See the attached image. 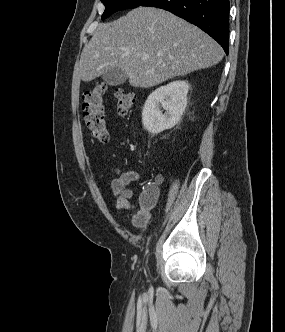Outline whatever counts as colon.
I'll return each mask as SVG.
<instances>
[{
	"label": "colon",
	"mask_w": 285,
	"mask_h": 332,
	"mask_svg": "<svg viewBox=\"0 0 285 332\" xmlns=\"http://www.w3.org/2000/svg\"><path fill=\"white\" fill-rule=\"evenodd\" d=\"M107 90V84L96 83L89 91L85 92L82 104L85 123L92 136L101 143L109 141V131L104 113V97ZM114 96L120 114H126L135 105V95L128 90L117 87L114 89Z\"/></svg>",
	"instance_id": "5ec220e1"
}]
</instances>
